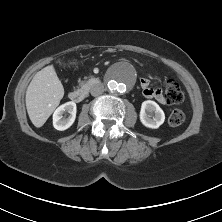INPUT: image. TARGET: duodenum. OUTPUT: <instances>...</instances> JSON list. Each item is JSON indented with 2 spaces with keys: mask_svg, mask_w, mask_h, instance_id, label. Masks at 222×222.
<instances>
[{
  "mask_svg": "<svg viewBox=\"0 0 222 222\" xmlns=\"http://www.w3.org/2000/svg\"><path fill=\"white\" fill-rule=\"evenodd\" d=\"M99 83H100V81H99L98 78H92L84 86L72 90L69 93L70 100L73 101V102H81V101H83L87 97L90 88L98 85Z\"/></svg>",
  "mask_w": 222,
  "mask_h": 222,
  "instance_id": "obj_1",
  "label": "duodenum"
}]
</instances>
